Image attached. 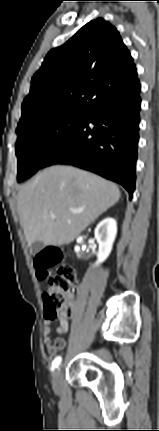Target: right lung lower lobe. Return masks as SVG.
I'll return each instance as SVG.
<instances>
[{"label": "right lung lower lobe", "mask_w": 159, "mask_h": 431, "mask_svg": "<svg viewBox=\"0 0 159 431\" xmlns=\"http://www.w3.org/2000/svg\"><path fill=\"white\" fill-rule=\"evenodd\" d=\"M140 109L137 79L93 108L48 155L42 168L69 164L92 171L121 184L131 199L136 181Z\"/></svg>", "instance_id": "98d812e1"}]
</instances>
